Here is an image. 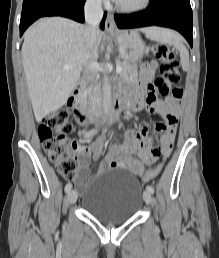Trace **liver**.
<instances>
[{
  "mask_svg": "<svg viewBox=\"0 0 219 258\" xmlns=\"http://www.w3.org/2000/svg\"><path fill=\"white\" fill-rule=\"evenodd\" d=\"M84 28L70 19L47 17L38 20L24 34L23 68L38 121L66 103L80 78L82 66L95 65L102 33L97 31L95 45L90 48L83 35ZM64 65L74 68L64 70Z\"/></svg>",
  "mask_w": 219,
  "mask_h": 258,
  "instance_id": "1",
  "label": "liver"
}]
</instances>
